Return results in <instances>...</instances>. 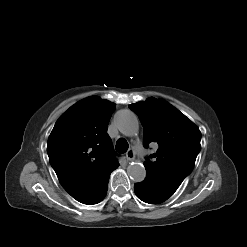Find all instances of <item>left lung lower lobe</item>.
Here are the masks:
<instances>
[{
	"label": "left lung lower lobe",
	"mask_w": 247,
	"mask_h": 247,
	"mask_svg": "<svg viewBox=\"0 0 247 247\" xmlns=\"http://www.w3.org/2000/svg\"><path fill=\"white\" fill-rule=\"evenodd\" d=\"M135 194L145 203L159 204L173 195V192L165 188L156 178L146 174L141 183L134 186Z\"/></svg>",
	"instance_id": "1"
}]
</instances>
